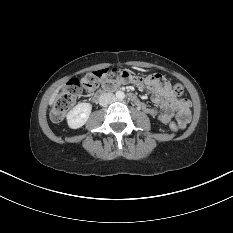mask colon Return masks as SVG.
<instances>
[{
	"instance_id": "obj_1",
	"label": "colon",
	"mask_w": 233,
	"mask_h": 233,
	"mask_svg": "<svg viewBox=\"0 0 233 233\" xmlns=\"http://www.w3.org/2000/svg\"><path fill=\"white\" fill-rule=\"evenodd\" d=\"M116 74H118L116 69L106 68L70 80L54 100L50 112L51 119L55 122L61 121L83 93L95 94L103 87H113L116 84ZM172 92L176 96H181L184 93V88L180 83H174ZM170 129L177 131L179 126L177 123L172 122L170 123Z\"/></svg>"
}]
</instances>
